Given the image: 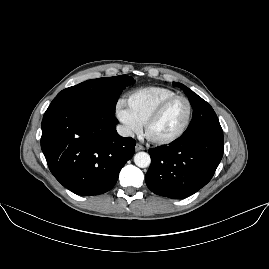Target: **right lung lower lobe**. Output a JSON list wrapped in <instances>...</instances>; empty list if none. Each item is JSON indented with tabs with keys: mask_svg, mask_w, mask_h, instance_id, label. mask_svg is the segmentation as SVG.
Wrapping results in <instances>:
<instances>
[{
	"mask_svg": "<svg viewBox=\"0 0 269 269\" xmlns=\"http://www.w3.org/2000/svg\"><path fill=\"white\" fill-rule=\"evenodd\" d=\"M114 114L66 98L54 99L44 114L41 148L49 169L77 195L109 191L135 152V140L117 133Z\"/></svg>",
	"mask_w": 269,
	"mask_h": 269,
	"instance_id": "1",
	"label": "right lung lower lobe"
}]
</instances>
